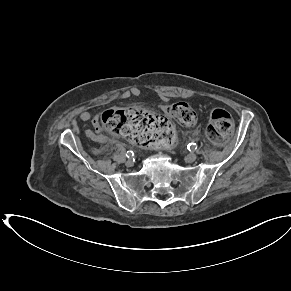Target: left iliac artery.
<instances>
[{
  "label": "left iliac artery",
  "mask_w": 291,
  "mask_h": 291,
  "mask_svg": "<svg viewBox=\"0 0 291 291\" xmlns=\"http://www.w3.org/2000/svg\"><path fill=\"white\" fill-rule=\"evenodd\" d=\"M187 148H188V150L189 151H194V150H196L197 149V144L196 143H189L188 145H187Z\"/></svg>",
  "instance_id": "left-iliac-artery-1"
}]
</instances>
